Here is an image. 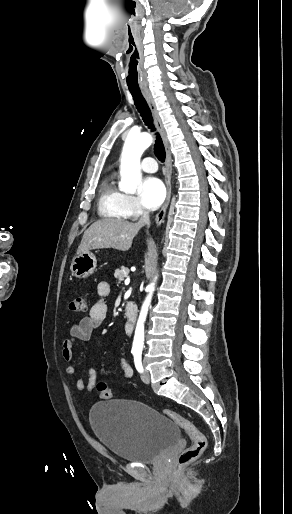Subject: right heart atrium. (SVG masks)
Wrapping results in <instances>:
<instances>
[{
    "mask_svg": "<svg viewBox=\"0 0 292 514\" xmlns=\"http://www.w3.org/2000/svg\"><path fill=\"white\" fill-rule=\"evenodd\" d=\"M126 203L130 212L136 211L140 208L138 201L133 196L126 195Z\"/></svg>",
    "mask_w": 292,
    "mask_h": 514,
    "instance_id": "obj_1",
    "label": "right heart atrium"
}]
</instances>
